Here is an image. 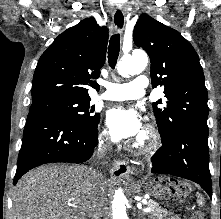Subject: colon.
<instances>
[{
    "label": "colon",
    "mask_w": 221,
    "mask_h": 219,
    "mask_svg": "<svg viewBox=\"0 0 221 219\" xmlns=\"http://www.w3.org/2000/svg\"><path fill=\"white\" fill-rule=\"evenodd\" d=\"M176 190H177V195L179 196L186 192V187L181 184H178ZM190 219H205V217L201 213H196Z\"/></svg>",
    "instance_id": "obj_1"
}]
</instances>
